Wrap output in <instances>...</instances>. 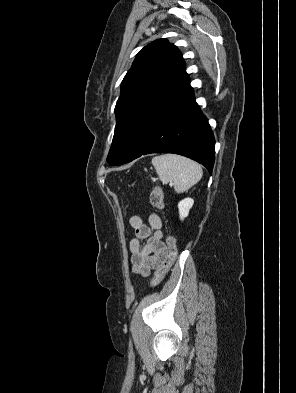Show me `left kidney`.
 <instances>
[{
  "label": "left kidney",
  "mask_w": 296,
  "mask_h": 393,
  "mask_svg": "<svg viewBox=\"0 0 296 393\" xmlns=\"http://www.w3.org/2000/svg\"><path fill=\"white\" fill-rule=\"evenodd\" d=\"M194 204L192 198H185L178 203L179 216L181 220H184L189 214L190 209Z\"/></svg>",
  "instance_id": "5707ae66"
}]
</instances>
